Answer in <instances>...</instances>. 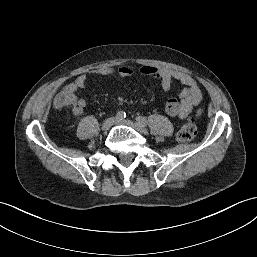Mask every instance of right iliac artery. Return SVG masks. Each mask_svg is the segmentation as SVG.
Returning <instances> with one entry per match:
<instances>
[{
	"mask_svg": "<svg viewBox=\"0 0 257 257\" xmlns=\"http://www.w3.org/2000/svg\"><path fill=\"white\" fill-rule=\"evenodd\" d=\"M118 119H124L126 117V113L123 111H119L116 115Z\"/></svg>",
	"mask_w": 257,
	"mask_h": 257,
	"instance_id": "obj_1",
	"label": "right iliac artery"
}]
</instances>
